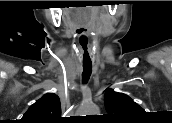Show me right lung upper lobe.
<instances>
[{"label": "right lung upper lobe", "instance_id": "1", "mask_svg": "<svg viewBox=\"0 0 172 123\" xmlns=\"http://www.w3.org/2000/svg\"><path fill=\"white\" fill-rule=\"evenodd\" d=\"M24 123H61V104L59 97L48 93L38 99L22 117Z\"/></svg>", "mask_w": 172, "mask_h": 123}]
</instances>
